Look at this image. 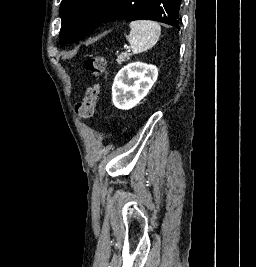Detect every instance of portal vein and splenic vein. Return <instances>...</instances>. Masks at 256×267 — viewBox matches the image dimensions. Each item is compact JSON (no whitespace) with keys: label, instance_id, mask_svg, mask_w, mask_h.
<instances>
[{"label":"portal vein and splenic vein","instance_id":"18ae733b","mask_svg":"<svg viewBox=\"0 0 256 267\" xmlns=\"http://www.w3.org/2000/svg\"><path fill=\"white\" fill-rule=\"evenodd\" d=\"M133 52H134V49H133V48H130V49H128V51L126 52V55H127V56H130L131 53H133Z\"/></svg>","mask_w":256,"mask_h":267}]
</instances>
